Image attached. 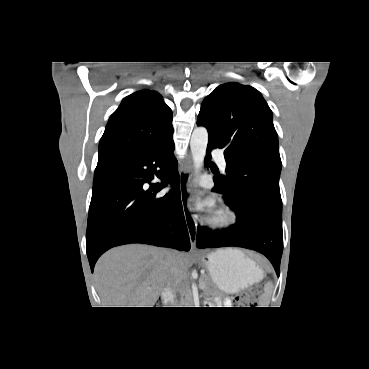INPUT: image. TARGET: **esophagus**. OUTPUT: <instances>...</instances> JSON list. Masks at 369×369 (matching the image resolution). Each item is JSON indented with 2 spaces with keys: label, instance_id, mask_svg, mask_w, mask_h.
Wrapping results in <instances>:
<instances>
[{
  "label": "esophagus",
  "instance_id": "1",
  "mask_svg": "<svg viewBox=\"0 0 369 369\" xmlns=\"http://www.w3.org/2000/svg\"><path fill=\"white\" fill-rule=\"evenodd\" d=\"M192 177V163L189 161L183 165L179 174V186H180V198L185 217V222L190 238L191 248H195L196 236H197V222L189 205V185Z\"/></svg>",
  "mask_w": 369,
  "mask_h": 369
}]
</instances>
